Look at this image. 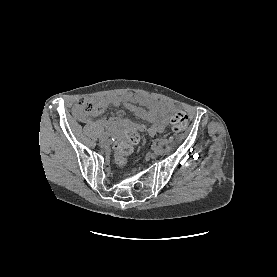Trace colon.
<instances>
[{
  "label": "colon",
  "instance_id": "5ec220e1",
  "mask_svg": "<svg viewBox=\"0 0 277 277\" xmlns=\"http://www.w3.org/2000/svg\"><path fill=\"white\" fill-rule=\"evenodd\" d=\"M74 113L79 118L87 119L91 116L102 114L103 108L81 99L76 102ZM188 125L189 117L185 112L178 111L171 118V130L175 133L185 131ZM139 141L140 135L137 129H129L115 142L114 149L119 164L126 163L128 157L133 153L134 148Z\"/></svg>",
  "mask_w": 277,
  "mask_h": 277
}]
</instances>
